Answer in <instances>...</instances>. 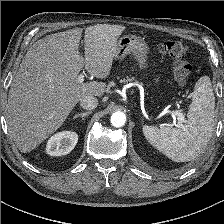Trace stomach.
Returning a JSON list of instances; mask_svg holds the SVG:
<instances>
[{
    "label": "stomach",
    "mask_w": 224,
    "mask_h": 224,
    "mask_svg": "<svg viewBox=\"0 0 224 224\" xmlns=\"http://www.w3.org/2000/svg\"><path fill=\"white\" fill-rule=\"evenodd\" d=\"M117 47L118 52L115 59L122 60L126 55L132 54L141 67H146L149 47L140 36L124 35L117 41Z\"/></svg>",
    "instance_id": "0dacf381"
}]
</instances>
